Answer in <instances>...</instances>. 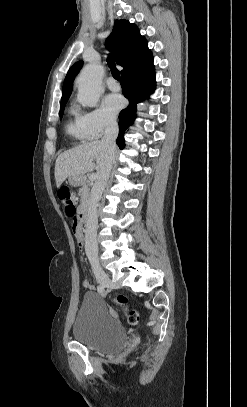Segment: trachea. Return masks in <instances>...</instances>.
I'll return each mask as SVG.
<instances>
[{
  "label": "trachea",
  "instance_id": "obj_1",
  "mask_svg": "<svg viewBox=\"0 0 247 407\" xmlns=\"http://www.w3.org/2000/svg\"><path fill=\"white\" fill-rule=\"evenodd\" d=\"M107 63H108V65H109L110 68H111L112 76H113L117 81H119V80H120V72H119V70L115 67L114 62H113V60H112L110 57L107 58Z\"/></svg>",
  "mask_w": 247,
  "mask_h": 407
}]
</instances>
